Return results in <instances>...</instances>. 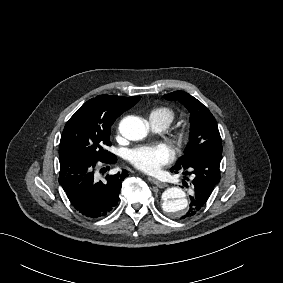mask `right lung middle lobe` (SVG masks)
Instances as JSON below:
<instances>
[{"instance_id": "1", "label": "right lung middle lobe", "mask_w": 283, "mask_h": 283, "mask_svg": "<svg viewBox=\"0 0 283 283\" xmlns=\"http://www.w3.org/2000/svg\"><path fill=\"white\" fill-rule=\"evenodd\" d=\"M140 96L99 95L84 103L66 123L61 135L59 157L84 153L103 160L111 153L110 131L115 119L133 107Z\"/></svg>"}]
</instances>
